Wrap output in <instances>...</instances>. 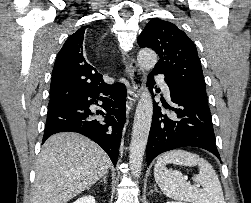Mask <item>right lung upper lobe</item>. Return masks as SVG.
Listing matches in <instances>:
<instances>
[{
  "label": "right lung upper lobe",
  "mask_w": 251,
  "mask_h": 203,
  "mask_svg": "<svg viewBox=\"0 0 251 203\" xmlns=\"http://www.w3.org/2000/svg\"><path fill=\"white\" fill-rule=\"evenodd\" d=\"M87 27H81L72 34L57 55L48 108L72 100L90 87L105 84L102 75L85 59L83 39Z\"/></svg>",
  "instance_id": "1"
}]
</instances>
